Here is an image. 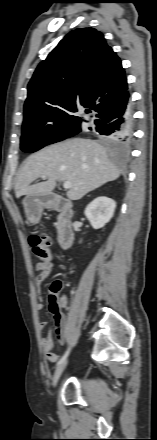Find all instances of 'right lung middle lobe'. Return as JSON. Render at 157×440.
I'll use <instances>...</instances> for the list:
<instances>
[{
  "instance_id": "dd1d6c3e",
  "label": "right lung middle lobe",
  "mask_w": 157,
  "mask_h": 440,
  "mask_svg": "<svg viewBox=\"0 0 157 440\" xmlns=\"http://www.w3.org/2000/svg\"><path fill=\"white\" fill-rule=\"evenodd\" d=\"M80 130L79 124H49L39 121L28 122L23 124L22 127L20 148L24 152H35L46 145L71 137L77 134ZM104 139L108 142H113L109 137Z\"/></svg>"
}]
</instances>
